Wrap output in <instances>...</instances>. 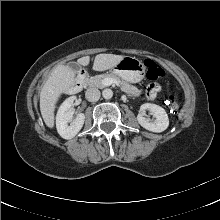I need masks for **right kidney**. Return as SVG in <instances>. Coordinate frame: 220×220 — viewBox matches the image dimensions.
<instances>
[{
    "mask_svg": "<svg viewBox=\"0 0 220 220\" xmlns=\"http://www.w3.org/2000/svg\"><path fill=\"white\" fill-rule=\"evenodd\" d=\"M75 99V96L67 98L61 104L57 112L56 128L59 135L64 139H72L73 137H75L83 127L85 121V115L83 113H80L76 116L73 122L68 125V123L71 122L73 118L74 112L71 107L73 106V102Z\"/></svg>",
    "mask_w": 220,
    "mask_h": 220,
    "instance_id": "obj_1",
    "label": "right kidney"
}]
</instances>
